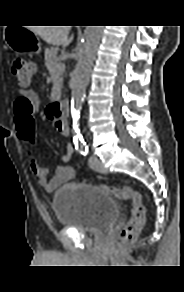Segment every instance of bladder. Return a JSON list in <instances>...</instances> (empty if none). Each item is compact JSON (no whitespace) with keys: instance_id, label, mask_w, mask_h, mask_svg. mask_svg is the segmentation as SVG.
Wrapping results in <instances>:
<instances>
[{"instance_id":"31cf9c89","label":"bladder","mask_w":184,"mask_h":292,"mask_svg":"<svg viewBox=\"0 0 184 292\" xmlns=\"http://www.w3.org/2000/svg\"><path fill=\"white\" fill-rule=\"evenodd\" d=\"M52 208L62 227L92 234L104 231L119 215V205L112 194L90 184L60 186Z\"/></svg>"}]
</instances>
